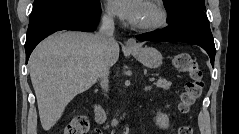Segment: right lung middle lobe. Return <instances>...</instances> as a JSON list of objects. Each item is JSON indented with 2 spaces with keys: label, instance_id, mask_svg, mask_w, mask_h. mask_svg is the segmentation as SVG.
Listing matches in <instances>:
<instances>
[{
  "label": "right lung middle lobe",
  "instance_id": "dd1d6c3e",
  "mask_svg": "<svg viewBox=\"0 0 239 134\" xmlns=\"http://www.w3.org/2000/svg\"><path fill=\"white\" fill-rule=\"evenodd\" d=\"M57 1H62V0H34V7L33 11H37L38 9L44 7L47 4L57 2ZM84 4H98L100 3V0H75Z\"/></svg>",
  "mask_w": 239,
  "mask_h": 134
}]
</instances>
